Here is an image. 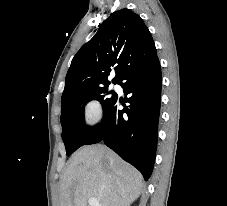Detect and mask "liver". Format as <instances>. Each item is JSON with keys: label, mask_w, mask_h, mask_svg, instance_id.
Here are the masks:
<instances>
[{"label": "liver", "mask_w": 227, "mask_h": 206, "mask_svg": "<svg viewBox=\"0 0 227 206\" xmlns=\"http://www.w3.org/2000/svg\"><path fill=\"white\" fill-rule=\"evenodd\" d=\"M143 177L103 145L85 146L70 159L59 187V206H130L142 192Z\"/></svg>", "instance_id": "1"}]
</instances>
